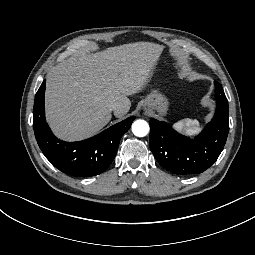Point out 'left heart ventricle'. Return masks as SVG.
<instances>
[{"label":"left heart ventricle","mask_w":255,"mask_h":255,"mask_svg":"<svg viewBox=\"0 0 255 255\" xmlns=\"http://www.w3.org/2000/svg\"><path fill=\"white\" fill-rule=\"evenodd\" d=\"M115 95L117 96L118 100L121 103L127 104L128 100H130L132 93L127 91H114ZM154 109L150 112V114L144 117V121L149 125H157L160 121V110L166 107V100L164 97L159 95H153L150 98Z\"/></svg>","instance_id":"1"}]
</instances>
